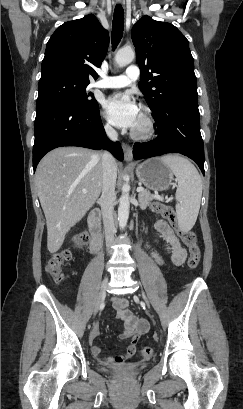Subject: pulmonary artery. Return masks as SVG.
Here are the masks:
<instances>
[{
  "instance_id": "obj_1",
  "label": "pulmonary artery",
  "mask_w": 243,
  "mask_h": 409,
  "mask_svg": "<svg viewBox=\"0 0 243 409\" xmlns=\"http://www.w3.org/2000/svg\"><path fill=\"white\" fill-rule=\"evenodd\" d=\"M139 77V69L136 66H129L125 74L118 76H106L94 83L98 88H122L136 81Z\"/></svg>"
}]
</instances>
